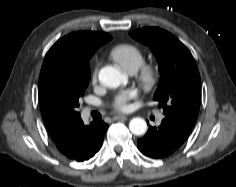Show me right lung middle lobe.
<instances>
[{
	"label": "right lung middle lobe",
	"mask_w": 236,
	"mask_h": 187,
	"mask_svg": "<svg viewBox=\"0 0 236 187\" xmlns=\"http://www.w3.org/2000/svg\"><path fill=\"white\" fill-rule=\"evenodd\" d=\"M93 54L75 60L55 56L43 63L38 82L41 111L80 118L79 98L90 81L89 59Z\"/></svg>",
	"instance_id": "right-lung-middle-lobe-1"
}]
</instances>
